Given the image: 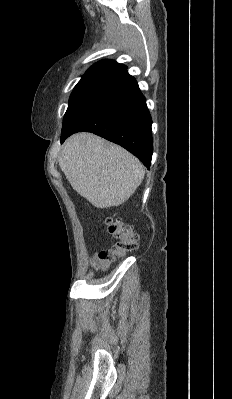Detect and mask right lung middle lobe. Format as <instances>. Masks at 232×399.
<instances>
[{"instance_id":"obj_1","label":"right lung middle lobe","mask_w":232,"mask_h":399,"mask_svg":"<svg viewBox=\"0 0 232 399\" xmlns=\"http://www.w3.org/2000/svg\"><path fill=\"white\" fill-rule=\"evenodd\" d=\"M97 83L94 81H89V80H80L78 84L74 87V90L70 96V100L77 98L79 95H81L83 92H85L87 89L92 88L95 86Z\"/></svg>"}]
</instances>
